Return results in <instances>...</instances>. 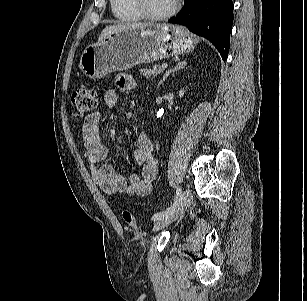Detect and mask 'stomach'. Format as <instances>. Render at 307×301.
Returning a JSON list of instances; mask_svg holds the SVG:
<instances>
[{
    "label": "stomach",
    "mask_w": 307,
    "mask_h": 301,
    "mask_svg": "<svg viewBox=\"0 0 307 301\" xmlns=\"http://www.w3.org/2000/svg\"><path fill=\"white\" fill-rule=\"evenodd\" d=\"M197 43L198 38L178 25L150 24L121 29L88 46L81 55L79 67L86 77L98 79L137 64L188 53Z\"/></svg>",
    "instance_id": "0dacf381"
}]
</instances>
